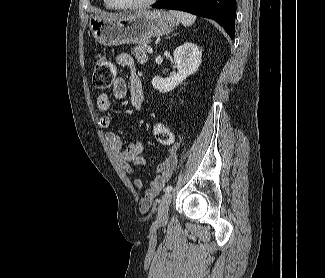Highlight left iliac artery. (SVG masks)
I'll return each mask as SVG.
<instances>
[{"label": "left iliac artery", "mask_w": 325, "mask_h": 278, "mask_svg": "<svg viewBox=\"0 0 325 278\" xmlns=\"http://www.w3.org/2000/svg\"><path fill=\"white\" fill-rule=\"evenodd\" d=\"M173 190V187L170 185V186H167L165 189H164V192L167 193V192H171Z\"/></svg>", "instance_id": "left-iliac-artery-1"}]
</instances>
